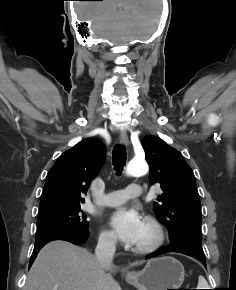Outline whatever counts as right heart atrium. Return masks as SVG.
Segmentation results:
<instances>
[{"instance_id":"right-heart-atrium-1","label":"right heart atrium","mask_w":236,"mask_h":290,"mask_svg":"<svg viewBox=\"0 0 236 290\" xmlns=\"http://www.w3.org/2000/svg\"><path fill=\"white\" fill-rule=\"evenodd\" d=\"M98 242L102 247L114 248L116 246L117 240L113 233L107 230H102L99 233Z\"/></svg>"}]
</instances>
